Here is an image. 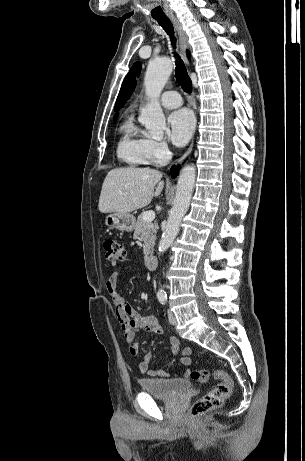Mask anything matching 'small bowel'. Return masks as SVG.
I'll list each match as a JSON object with an SVG mask.
<instances>
[{
    "instance_id": "1",
    "label": "small bowel",
    "mask_w": 305,
    "mask_h": 461,
    "mask_svg": "<svg viewBox=\"0 0 305 461\" xmlns=\"http://www.w3.org/2000/svg\"><path fill=\"white\" fill-rule=\"evenodd\" d=\"M119 276V272H114L106 281V289L115 306V315L124 332V337L126 343L128 344L129 352L132 355H136L139 352L137 332L139 330H144L152 334H161L162 327L153 314L142 316L137 309H135L123 298L117 287ZM167 341L170 347V358H173L180 353L181 363L185 366H190L192 364V360L190 358L192 349L187 347L181 350L180 342L174 336H170ZM152 357L153 355L150 352L143 356L142 360L138 364L139 372L142 375H149L152 377L167 376L168 372L162 369H151L149 367V363Z\"/></svg>"
}]
</instances>
